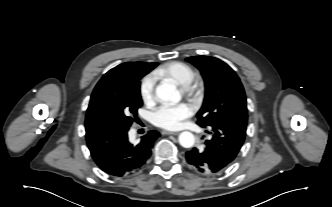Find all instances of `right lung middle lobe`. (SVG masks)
<instances>
[{
  "instance_id": "1",
  "label": "right lung middle lobe",
  "mask_w": 332,
  "mask_h": 207,
  "mask_svg": "<svg viewBox=\"0 0 332 207\" xmlns=\"http://www.w3.org/2000/svg\"><path fill=\"white\" fill-rule=\"evenodd\" d=\"M150 70L134 67L104 75L96 85L87 109L86 135L110 129H129L142 106L140 80Z\"/></svg>"
}]
</instances>
